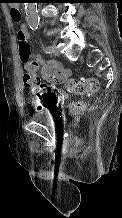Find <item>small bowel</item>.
Listing matches in <instances>:
<instances>
[{
    "instance_id": "small-bowel-1",
    "label": "small bowel",
    "mask_w": 122,
    "mask_h": 218,
    "mask_svg": "<svg viewBox=\"0 0 122 218\" xmlns=\"http://www.w3.org/2000/svg\"><path fill=\"white\" fill-rule=\"evenodd\" d=\"M22 29L27 31L24 25H22ZM32 61L38 65L37 71L44 83H65L70 76V71L64 69L56 61L43 60L39 56H35Z\"/></svg>"
}]
</instances>
